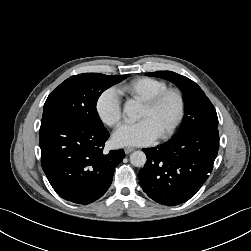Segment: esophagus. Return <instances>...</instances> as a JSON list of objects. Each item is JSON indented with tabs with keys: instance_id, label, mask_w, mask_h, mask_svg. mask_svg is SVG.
<instances>
[{
	"instance_id": "34e87169",
	"label": "esophagus",
	"mask_w": 251,
	"mask_h": 251,
	"mask_svg": "<svg viewBox=\"0 0 251 251\" xmlns=\"http://www.w3.org/2000/svg\"><path fill=\"white\" fill-rule=\"evenodd\" d=\"M124 151H125L126 154H129V153L134 151V148L127 147V148L124 149Z\"/></svg>"
}]
</instances>
